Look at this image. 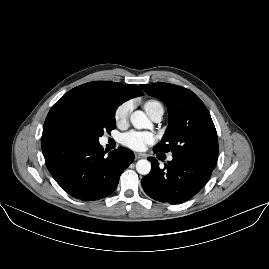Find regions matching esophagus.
<instances>
[{
    "label": "esophagus",
    "instance_id": "34e87169",
    "mask_svg": "<svg viewBox=\"0 0 269 269\" xmlns=\"http://www.w3.org/2000/svg\"><path fill=\"white\" fill-rule=\"evenodd\" d=\"M141 158H144V155L141 154V153H135V159H141Z\"/></svg>",
    "mask_w": 269,
    "mask_h": 269
}]
</instances>
